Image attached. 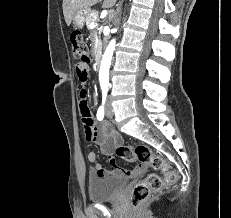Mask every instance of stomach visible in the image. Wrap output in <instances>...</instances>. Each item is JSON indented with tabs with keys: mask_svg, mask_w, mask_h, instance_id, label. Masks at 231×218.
<instances>
[{
	"mask_svg": "<svg viewBox=\"0 0 231 218\" xmlns=\"http://www.w3.org/2000/svg\"><path fill=\"white\" fill-rule=\"evenodd\" d=\"M89 11H90L89 9H81L74 14L72 20L75 27L80 29L83 28L85 17Z\"/></svg>",
	"mask_w": 231,
	"mask_h": 218,
	"instance_id": "stomach-1",
	"label": "stomach"
}]
</instances>
